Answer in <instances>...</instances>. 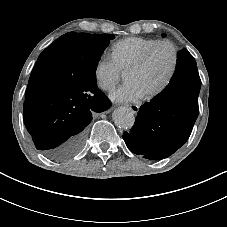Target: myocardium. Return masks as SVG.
Wrapping results in <instances>:
<instances>
[{
    "mask_svg": "<svg viewBox=\"0 0 227 227\" xmlns=\"http://www.w3.org/2000/svg\"><path fill=\"white\" fill-rule=\"evenodd\" d=\"M159 45H166L170 48L172 52V62L171 66L169 68V71L167 73L166 78L161 83L160 86H158L154 91H152L150 94L146 95L148 99H153L160 94H162L169 84L171 83L175 72L177 70L178 66V60H179V54H178V48L177 46L170 40H158L155 43H153L151 46L147 48V50L144 52V54L135 62V64L129 69L128 73H134L142 70L147 62L149 61L153 51L159 46Z\"/></svg>",
    "mask_w": 227,
    "mask_h": 227,
    "instance_id": "myocardium-1",
    "label": "myocardium"
}]
</instances>
